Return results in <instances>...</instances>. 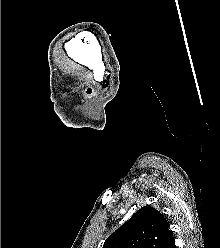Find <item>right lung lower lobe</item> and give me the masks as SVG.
I'll return each instance as SVG.
<instances>
[{
	"label": "right lung lower lobe",
	"instance_id": "1",
	"mask_svg": "<svg viewBox=\"0 0 220 248\" xmlns=\"http://www.w3.org/2000/svg\"><path fill=\"white\" fill-rule=\"evenodd\" d=\"M164 248H176L175 244H174V238L171 239L169 241V243H167V245L164 246Z\"/></svg>",
	"mask_w": 220,
	"mask_h": 248
}]
</instances>
